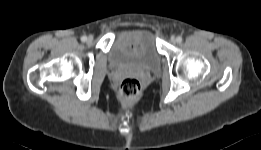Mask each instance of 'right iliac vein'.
Wrapping results in <instances>:
<instances>
[{"instance_id":"obj_1","label":"right iliac vein","mask_w":261,"mask_h":150,"mask_svg":"<svg viewBox=\"0 0 261 150\" xmlns=\"http://www.w3.org/2000/svg\"><path fill=\"white\" fill-rule=\"evenodd\" d=\"M87 41H88L89 43H91V42L93 41V37H92V36H89L88 39H87Z\"/></svg>"}]
</instances>
